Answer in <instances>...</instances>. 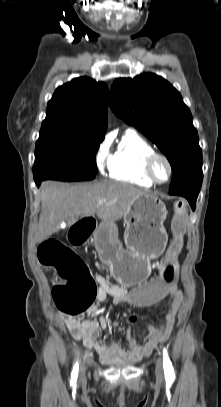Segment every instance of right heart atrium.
Returning <instances> with one entry per match:
<instances>
[{
  "mask_svg": "<svg viewBox=\"0 0 221 407\" xmlns=\"http://www.w3.org/2000/svg\"><path fill=\"white\" fill-rule=\"evenodd\" d=\"M110 158V142L104 140L99 144L95 153V164L100 173H104L109 169Z\"/></svg>",
  "mask_w": 221,
  "mask_h": 407,
  "instance_id": "d8ad5b80",
  "label": "right heart atrium"
}]
</instances>
